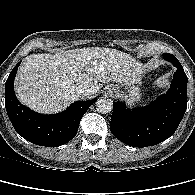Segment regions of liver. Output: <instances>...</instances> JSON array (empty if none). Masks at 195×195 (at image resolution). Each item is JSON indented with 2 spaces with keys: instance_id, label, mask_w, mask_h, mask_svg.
I'll return each mask as SVG.
<instances>
[{
  "instance_id": "1",
  "label": "liver",
  "mask_w": 195,
  "mask_h": 195,
  "mask_svg": "<svg viewBox=\"0 0 195 195\" xmlns=\"http://www.w3.org/2000/svg\"><path fill=\"white\" fill-rule=\"evenodd\" d=\"M145 66L125 52L92 47L60 51L55 55L31 54L24 58L15 78L22 104L39 113H55L78 99L75 87L85 85L97 94L103 83L131 85Z\"/></svg>"
}]
</instances>
